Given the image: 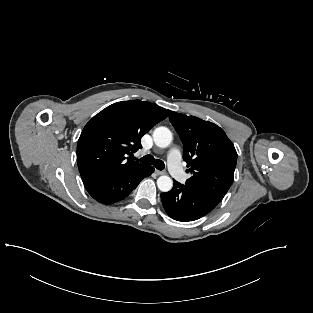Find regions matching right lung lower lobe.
Masks as SVG:
<instances>
[{
	"mask_svg": "<svg viewBox=\"0 0 313 313\" xmlns=\"http://www.w3.org/2000/svg\"><path fill=\"white\" fill-rule=\"evenodd\" d=\"M154 172L152 166L127 172L118 176L84 182L88 193L98 202L112 204L126 198L140 181Z\"/></svg>",
	"mask_w": 313,
	"mask_h": 313,
	"instance_id": "98d812e1",
	"label": "right lung lower lobe"
}]
</instances>
